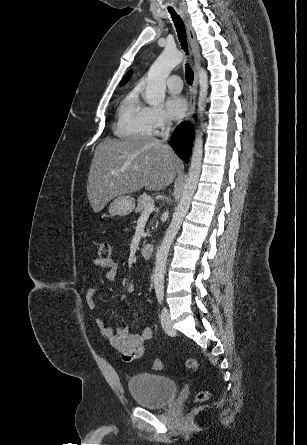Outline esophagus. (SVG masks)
I'll return each mask as SVG.
<instances>
[{"label": "esophagus", "mask_w": 307, "mask_h": 445, "mask_svg": "<svg viewBox=\"0 0 307 445\" xmlns=\"http://www.w3.org/2000/svg\"><path fill=\"white\" fill-rule=\"evenodd\" d=\"M180 14L184 20L186 29H187V33H188V37H189V42L191 45V53L194 57V60L196 62L197 65L200 64L201 61V57H200V52H199V46H198V42H197V38H196V34L194 31V28L192 27L191 21L189 19V16L185 10V8L183 7L182 4H179L178 6ZM197 91H198V71L197 68L195 69V75H194V81H193V86L190 90V101H189V110L187 112L186 115V121L188 120H192L193 115L195 114L196 111V98H197Z\"/></svg>", "instance_id": "esophagus-1"}]
</instances>
